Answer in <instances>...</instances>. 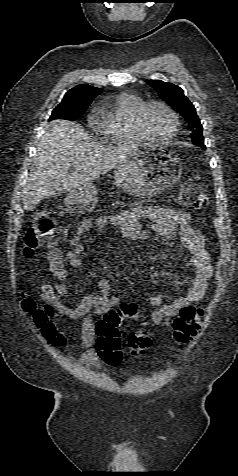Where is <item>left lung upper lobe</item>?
Masks as SVG:
<instances>
[{"label":"left lung upper lobe","mask_w":238,"mask_h":476,"mask_svg":"<svg viewBox=\"0 0 238 476\" xmlns=\"http://www.w3.org/2000/svg\"><path fill=\"white\" fill-rule=\"evenodd\" d=\"M148 84L159 93V96L180 113L192 126L191 139L195 145L205 148L202 125L196 114L195 107L177 85L161 80H149Z\"/></svg>","instance_id":"5c2ea615"}]
</instances>
